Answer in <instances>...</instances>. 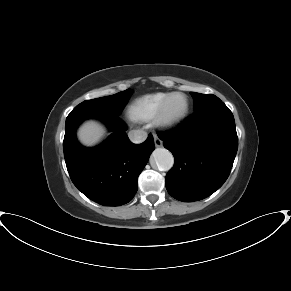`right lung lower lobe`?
<instances>
[{
  "label": "right lung lower lobe",
  "mask_w": 291,
  "mask_h": 291,
  "mask_svg": "<svg viewBox=\"0 0 291 291\" xmlns=\"http://www.w3.org/2000/svg\"><path fill=\"white\" fill-rule=\"evenodd\" d=\"M97 118L112 132L95 148H85L75 131L85 119ZM126 125L116 115L89 110H72L66 118L64 157L72 182L90 200L104 206H120L132 200L137 179L154 150L151 134L141 144H133Z\"/></svg>",
  "instance_id": "right-lung-lower-lobe-1"
}]
</instances>
